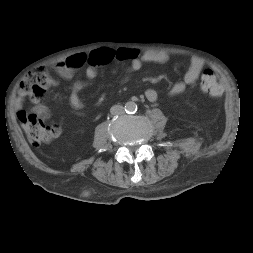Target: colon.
I'll use <instances>...</instances> for the list:
<instances>
[{
  "mask_svg": "<svg viewBox=\"0 0 253 253\" xmlns=\"http://www.w3.org/2000/svg\"><path fill=\"white\" fill-rule=\"evenodd\" d=\"M49 81L44 68L40 67L33 70L20 84V93L28 97L33 102L40 101L47 92ZM203 92L212 96L219 97L223 93L222 85L217 81L211 70H205L200 81ZM17 117L20 120L27 134L29 141L40 146L58 137L61 128L57 124L48 125L41 121L36 115L19 110Z\"/></svg>",
  "mask_w": 253,
  "mask_h": 253,
  "instance_id": "1",
  "label": "colon"
}]
</instances>
